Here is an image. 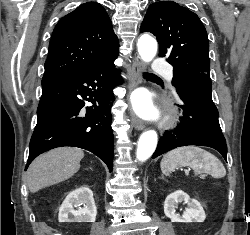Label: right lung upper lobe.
Returning a JSON list of instances; mask_svg holds the SVG:
<instances>
[{"label": "right lung upper lobe", "mask_w": 250, "mask_h": 235, "mask_svg": "<svg viewBox=\"0 0 250 235\" xmlns=\"http://www.w3.org/2000/svg\"><path fill=\"white\" fill-rule=\"evenodd\" d=\"M118 51L119 42L103 6L84 3L55 26L42 80L76 74L118 56Z\"/></svg>", "instance_id": "cb5924a9"}]
</instances>
